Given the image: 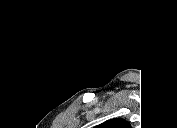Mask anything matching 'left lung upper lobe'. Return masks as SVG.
Here are the masks:
<instances>
[{"label":"left lung upper lobe","mask_w":177,"mask_h":128,"mask_svg":"<svg viewBox=\"0 0 177 128\" xmlns=\"http://www.w3.org/2000/svg\"><path fill=\"white\" fill-rule=\"evenodd\" d=\"M102 127H106V128H115V127L127 128V127H129V124H128V122H126L123 119L116 118V119H111V120H108V121L104 122L102 124Z\"/></svg>","instance_id":"1"}]
</instances>
